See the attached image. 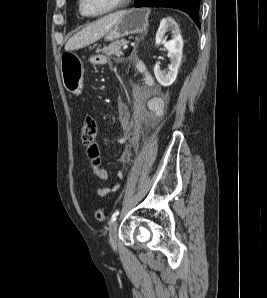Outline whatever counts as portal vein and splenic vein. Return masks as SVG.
Segmentation results:
<instances>
[{"mask_svg": "<svg viewBox=\"0 0 267 298\" xmlns=\"http://www.w3.org/2000/svg\"><path fill=\"white\" fill-rule=\"evenodd\" d=\"M128 48V44H124L123 49H127Z\"/></svg>", "mask_w": 267, "mask_h": 298, "instance_id": "obj_1", "label": "portal vein and splenic vein"}]
</instances>
